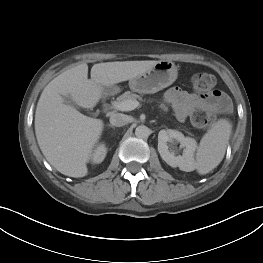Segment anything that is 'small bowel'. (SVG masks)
Segmentation results:
<instances>
[{"mask_svg":"<svg viewBox=\"0 0 263 263\" xmlns=\"http://www.w3.org/2000/svg\"><path fill=\"white\" fill-rule=\"evenodd\" d=\"M164 99L173 108L179 120H185L196 108L226 109L228 107L226 97L219 91L202 97L179 87H172L165 92Z\"/></svg>","mask_w":263,"mask_h":263,"instance_id":"1","label":"small bowel"}]
</instances>
